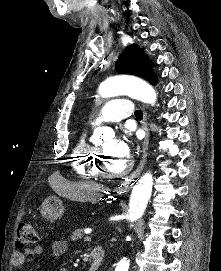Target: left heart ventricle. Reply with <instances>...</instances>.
<instances>
[{"label": "left heart ventricle", "instance_id": "left-heart-ventricle-1", "mask_svg": "<svg viewBox=\"0 0 221 271\" xmlns=\"http://www.w3.org/2000/svg\"><path fill=\"white\" fill-rule=\"evenodd\" d=\"M104 165H107L110 175H123L124 160L121 156H110V160H104Z\"/></svg>", "mask_w": 221, "mask_h": 271}]
</instances>
